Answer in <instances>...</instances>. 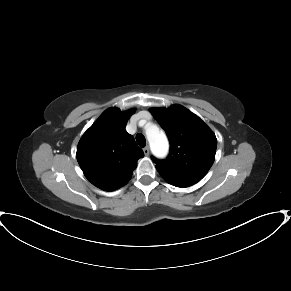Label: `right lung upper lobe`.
<instances>
[{
  "label": "right lung upper lobe",
  "mask_w": 291,
  "mask_h": 291,
  "mask_svg": "<svg viewBox=\"0 0 291 291\" xmlns=\"http://www.w3.org/2000/svg\"><path fill=\"white\" fill-rule=\"evenodd\" d=\"M135 112L107 109L83 134L77 147V160L86 178L96 187L113 191L125 185L144 156L125 127Z\"/></svg>",
  "instance_id": "cb5924a9"
}]
</instances>
